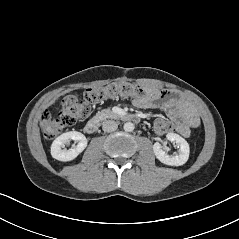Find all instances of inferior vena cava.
I'll return each instance as SVG.
<instances>
[{
  "label": "inferior vena cava",
  "instance_id": "obj_1",
  "mask_svg": "<svg viewBox=\"0 0 239 239\" xmlns=\"http://www.w3.org/2000/svg\"><path fill=\"white\" fill-rule=\"evenodd\" d=\"M117 128H118V124L113 120H107L103 122L102 129L105 132H113L117 130Z\"/></svg>",
  "mask_w": 239,
  "mask_h": 239
}]
</instances>
